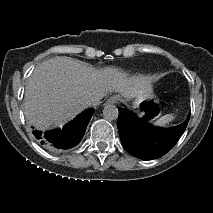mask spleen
I'll return each instance as SVG.
<instances>
[{
  "label": "spleen",
  "mask_w": 213,
  "mask_h": 213,
  "mask_svg": "<svg viewBox=\"0 0 213 213\" xmlns=\"http://www.w3.org/2000/svg\"><path fill=\"white\" fill-rule=\"evenodd\" d=\"M175 119H176V115L174 113H169L160 117L155 123L159 126H167Z\"/></svg>",
  "instance_id": "obj_1"
}]
</instances>
